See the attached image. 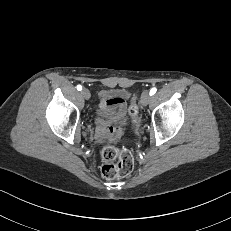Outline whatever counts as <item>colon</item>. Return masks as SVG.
<instances>
[{
	"mask_svg": "<svg viewBox=\"0 0 231 231\" xmlns=\"http://www.w3.org/2000/svg\"><path fill=\"white\" fill-rule=\"evenodd\" d=\"M129 114L133 122H137L138 107L135 101L129 106ZM102 175L107 179H115L129 175L134 168L133 154L129 149L105 145L101 150Z\"/></svg>",
	"mask_w": 231,
	"mask_h": 231,
	"instance_id": "5ec220e1",
	"label": "colon"
}]
</instances>
